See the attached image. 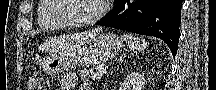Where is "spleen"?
Segmentation results:
<instances>
[{"label":"spleen","instance_id":"1","mask_svg":"<svg viewBox=\"0 0 216 90\" xmlns=\"http://www.w3.org/2000/svg\"><path fill=\"white\" fill-rule=\"evenodd\" d=\"M121 40L127 42L132 52H141V50L148 48V42H145V40H140V38H135V36H131V34H123V36H121Z\"/></svg>","mask_w":216,"mask_h":90}]
</instances>
